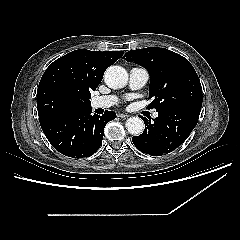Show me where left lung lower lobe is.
I'll return each instance as SVG.
<instances>
[{
  "label": "left lung lower lobe",
  "instance_id": "0a47b994",
  "mask_svg": "<svg viewBox=\"0 0 240 240\" xmlns=\"http://www.w3.org/2000/svg\"><path fill=\"white\" fill-rule=\"evenodd\" d=\"M201 104H188L158 112L151 120L143 118L145 130L132 141L136 148L151 156H161L179 147L196 126Z\"/></svg>",
  "mask_w": 240,
  "mask_h": 240
}]
</instances>
